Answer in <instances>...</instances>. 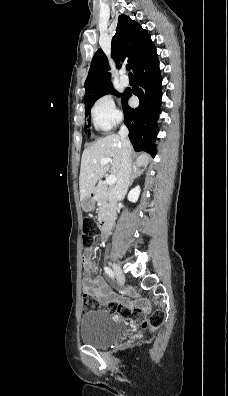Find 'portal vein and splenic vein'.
Returning <instances> with one entry per match:
<instances>
[{
    "label": "portal vein and splenic vein",
    "instance_id": "obj_1",
    "mask_svg": "<svg viewBox=\"0 0 228 396\" xmlns=\"http://www.w3.org/2000/svg\"><path fill=\"white\" fill-rule=\"evenodd\" d=\"M107 163H112V159H110V158H104V159H102V160L100 161V164H102V165H105V164H107ZM116 180H117L116 176L110 175V176H108V177L106 178V183H107L108 185H114V184L116 183Z\"/></svg>",
    "mask_w": 228,
    "mask_h": 396
}]
</instances>
